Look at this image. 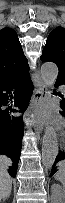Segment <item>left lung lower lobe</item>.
I'll use <instances>...</instances> for the list:
<instances>
[{"instance_id":"0a47b994","label":"left lung lower lobe","mask_w":65,"mask_h":203,"mask_svg":"<svg viewBox=\"0 0 65 203\" xmlns=\"http://www.w3.org/2000/svg\"><path fill=\"white\" fill-rule=\"evenodd\" d=\"M61 84L65 85V78H63V77H57L55 85L58 86V85H61ZM59 95H61V94L59 93ZM61 108H62L61 114L63 116H65V99H63V101L61 103ZM62 160H63V163H64L65 162V149L63 151H59V154L57 155V157L55 159V162H54V165H53V168H52L50 176H53L54 173L57 172V167H55V164L57 162H59V161H62Z\"/></svg>"}]
</instances>
